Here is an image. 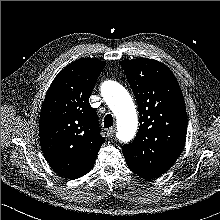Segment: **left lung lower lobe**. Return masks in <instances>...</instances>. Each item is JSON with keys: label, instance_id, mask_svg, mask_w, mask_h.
<instances>
[{"label": "left lung lower lobe", "instance_id": "0a47b994", "mask_svg": "<svg viewBox=\"0 0 220 220\" xmlns=\"http://www.w3.org/2000/svg\"><path fill=\"white\" fill-rule=\"evenodd\" d=\"M128 166H129V164H128ZM129 167H130V166H129ZM134 173H136L137 175H139V176H141V177L150 178V179L159 176V175L147 174V173H138V172H134Z\"/></svg>", "mask_w": 220, "mask_h": 220}]
</instances>
